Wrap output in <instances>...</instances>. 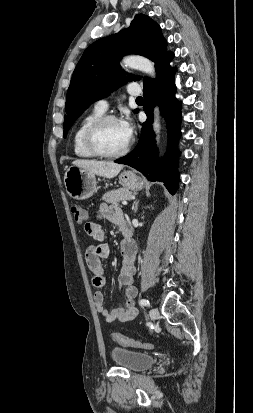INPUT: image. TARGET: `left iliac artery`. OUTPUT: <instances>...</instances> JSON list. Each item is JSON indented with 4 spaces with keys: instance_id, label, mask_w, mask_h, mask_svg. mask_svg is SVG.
<instances>
[{
    "instance_id": "44dca946",
    "label": "left iliac artery",
    "mask_w": 253,
    "mask_h": 413,
    "mask_svg": "<svg viewBox=\"0 0 253 413\" xmlns=\"http://www.w3.org/2000/svg\"><path fill=\"white\" fill-rule=\"evenodd\" d=\"M139 303L141 306H146V307L150 306V303L147 299H141Z\"/></svg>"
}]
</instances>
